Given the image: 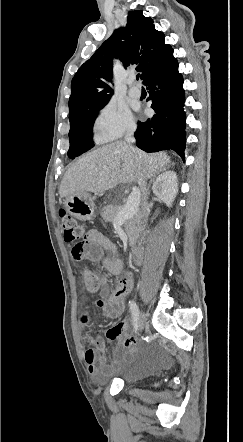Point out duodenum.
<instances>
[{"mask_svg":"<svg viewBox=\"0 0 243 442\" xmlns=\"http://www.w3.org/2000/svg\"><path fill=\"white\" fill-rule=\"evenodd\" d=\"M131 259L135 264H139L142 262L143 253L140 248H134L131 252Z\"/></svg>","mask_w":243,"mask_h":442,"instance_id":"1","label":"duodenum"}]
</instances>
